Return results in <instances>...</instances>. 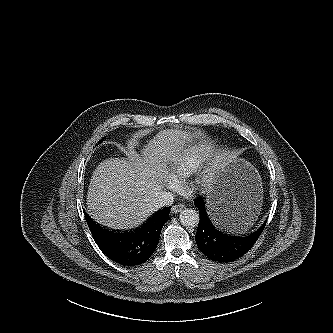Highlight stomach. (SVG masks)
Listing matches in <instances>:
<instances>
[{
    "label": "stomach",
    "mask_w": 333,
    "mask_h": 333,
    "mask_svg": "<svg viewBox=\"0 0 333 333\" xmlns=\"http://www.w3.org/2000/svg\"><path fill=\"white\" fill-rule=\"evenodd\" d=\"M207 193L206 220L212 230L239 236L255 226L262 204V183L256 168L242 158L218 156Z\"/></svg>",
    "instance_id": "stomach-1"
}]
</instances>
